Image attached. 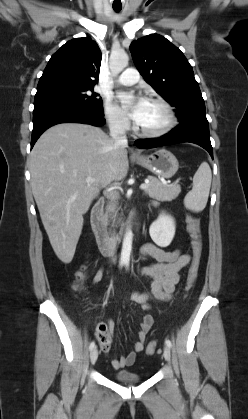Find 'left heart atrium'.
<instances>
[{"label": "left heart atrium", "instance_id": "obj_1", "mask_svg": "<svg viewBox=\"0 0 248 419\" xmlns=\"http://www.w3.org/2000/svg\"><path fill=\"white\" fill-rule=\"evenodd\" d=\"M125 95H122L121 98H124ZM148 100L144 97H137L134 100L132 108L129 111V115L133 120L139 122L144 114L145 108L147 106Z\"/></svg>", "mask_w": 248, "mask_h": 419}]
</instances>
